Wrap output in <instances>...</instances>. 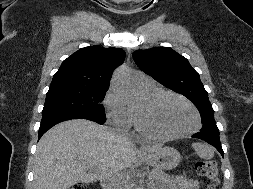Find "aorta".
Instances as JSON below:
<instances>
[{
  "label": "aorta",
  "instance_id": "aorta-1",
  "mask_svg": "<svg viewBox=\"0 0 253 189\" xmlns=\"http://www.w3.org/2000/svg\"><path fill=\"white\" fill-rule=\"evenodd\" d=\"M113 85L121 94L127 106L134 107L140 103L141 97L124 69L117 70L114 75Z\"/></svg>",
  "mask_w": 253,
  "mask_h": 189
}]
</instances>
